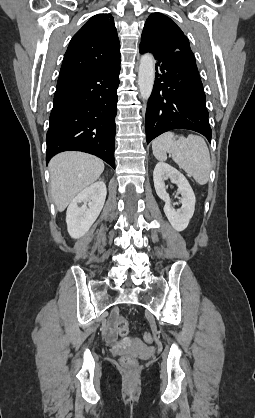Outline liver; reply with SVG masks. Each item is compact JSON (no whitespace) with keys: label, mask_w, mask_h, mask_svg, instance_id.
<instances>
[{"label":"liver","mask_w":255,"mask_h":418,"mask_svg":"<svg viewBox=\"0 0 255 418\" xmlns=\"http://www.w3.org/2000/svg\"><path fill=\"white\" fill-rule=\"evenodd\" d=\"M49 171L52 199L62 212L78 193L100 177L104 163L93 155L70 151L52 158Z\"/></svg>","instance_id":"liver-1"}]
</instances>
